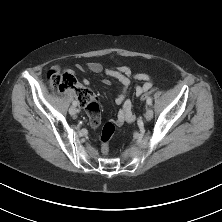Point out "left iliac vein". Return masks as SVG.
Segmentation results:
<instances>
[{
  "label": "left iliac vein",
  "instance_id": "left-iliac-vein-1",
  "mask_svg": "<svg viewBox=\"0 0 222 222\" xmlns=\"http://www.w3.org/2000/svg\"><path fill=\"white\" fill-rule=\"evenodd\" d=\"M152 118H153V110H152L151 107H148V108L146 109L145 119H146L147 121H150Z\"/></svg>",
  "mask_w": 222,
  "mask_h": 222
}]
</instances>
